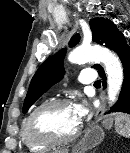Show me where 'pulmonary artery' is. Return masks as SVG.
I'll return each mask as SVG.
<instances>
[{
    "mask_svg": "<svg viewBox=\"0 0 130 153\" xmlns=\"http://www.w3.org/2000/svg\"><path fill=\"white\" fill-rule=\"evenodd\" d=\"M96 81V72L94 70H83L79 75V82L90 84Z\"/></svg>",
    "mask_w": 130,
    "mask_h": 153,
    "instance_id": "obj_1",
    "label": "pulmonary artery"
}]
</instances>
